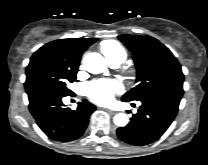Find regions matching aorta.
I'll use <instances>...</instances> for the list:
<instances>
[{
    "instance_id": "762f6f07",
    "label": "aorta",
    "mask_w": 208,
    "mask_h": 165,
    "mask_svg": "<svg viewBox=\"0 0 208 165\" xmlns=\"http://www.w3.org/2000/svg\"><path fill=\"white\" fill-rule=\"evenodd\" d=\"M84 68L92 73L99 74L105 71L106 61L102 55L99 53H88L83 59ZM113 121L115 125L119 127H124L128 124L129 118L125 113H118L114 116Z\"/></svg>"
}]
</instances>
